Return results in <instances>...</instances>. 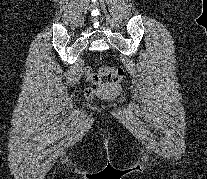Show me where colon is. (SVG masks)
Returning <instances> with one entry per match:
<instances>
[{"mask_svg":"<svg viewBox=\"0 0 207 179\" xmlns=\"http://www.w3.org/2000/svg\"><path fill=\"white\" fill-rule=\"evenodd\" d=\"M87 79L90 81L91 86H88L84 95L87 99L94 98L101 88V79L102 77H108L115 82H120L125 78V71L120 67H102L97 73L88 71Z\"/></svg>","mask_w":207,"mask_h":179,"instance_id":"1","label":"colon"}]
</instances>
